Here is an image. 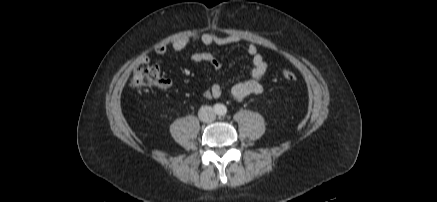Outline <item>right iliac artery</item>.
Instances as JSON below:
<instances>
[{
  "label": "right iliac artery",
  "instance_id": "right-iliac-artery-1",
  "mask_svg": "<svg viewBox=\"0 0 437 202\" xmlns=\"http://www.w3.org/2000/svg\"><path fill=\"white\" fill-rule=\"evenodd\" d=\"M218 109H219V108H218V105H215V106H214V110L217 111Z\"/></svg>",
  "mask_w": 437,
  "mask_h": 202
}]
</instances>
